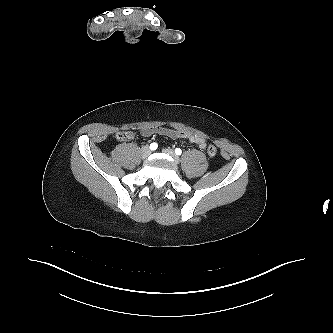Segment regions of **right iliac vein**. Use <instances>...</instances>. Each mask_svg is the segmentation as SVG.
I'll return each instance as SVG.
<instances>
[{
	"mask_svg": "<svg viewBox=\"0 0 333 333\" xmlns=\"http://www.w3.org/2000/svg\"><path fill=\"white\" fill-rule=\"evenodd\" d=\"M151 153V150L148 146L142 148V158L146 159Z\"/></svg>",
	"mask_w": 333,
	"mask_h": 333,
	"instance_id": "right-iliac-vein-1",
	"label": "right iliac vein"
}]
</instances>
